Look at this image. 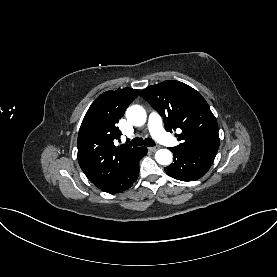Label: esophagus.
<instances>
[{
  "label": "esophagus",
  "instance_id": "1",
  "mask_svg": "<svg viewBox=\"0 0 277 277\" xmlns=\"http://www.w3.org/2000/svg\"><path fill=\"white\" fill-rule=\"evenodd\" d=\"M158 149L157 146H154V147H149V150L152 151V152H155L156 150Z\"/></svg>",
  "mask_w": 277,
  "mask_h": 277
}]
</instances>
